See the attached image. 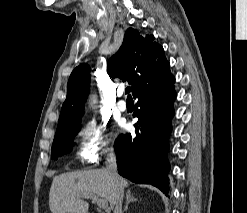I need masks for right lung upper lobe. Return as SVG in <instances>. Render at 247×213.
Segmentation results:
<instances>
[{"mask_svg":"<svg viewBox=\"0 0 247 213\" xmlns=\"http://www.w3.org/2000/svg\"><path fill=\"white\" fill-rule=\"evenodd\" d=\"M168 67L169 62L165 58L164 50L154 42V36H142L136 29L129 28L125 32L121 47L107 63V73L110 77L128 80L134 93L141 85L157 77ZM89 77L87 64L79 65L71 73L57 131L79 126L83 115V103L89 92Z\"/></svg>","mask_w":247,"mask_h":213,"instance_id":"right-lung-upper-lobe-1","label":"right lung upper lobe"}]
</instances>
